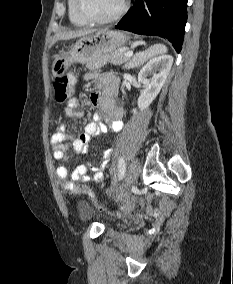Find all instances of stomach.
Returning a JSON list of instances; mask_svg holds the SVG:
<instances>
[{
    "label": "stomach",
    "instance_id": "1",
    "mask_svg": "<svg viewBox=\"0 0 233 284\" xmlns=\"http://www.w3.org/2000/svg\"><path fill=\"white\" fill-rule=\"evenodd\" d=\"M129 37L119 31L104 29L78 40L64 53L53 56L52 75L54 78L67 72L71 64H90L100 57L117 51L129 42Z\"/></svg>",
    "mask_w": 233,
    "mask_h": 284
}]
</instances>
